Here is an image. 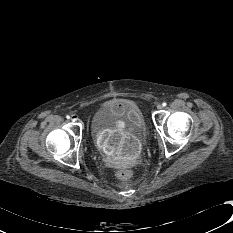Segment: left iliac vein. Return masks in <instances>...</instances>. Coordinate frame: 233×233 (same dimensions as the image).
<instances>
[{"label":"left iliac vein","mask_w":233,"mask_h":233,"mask_svg":"<svg viewBox=\"0 0 233 233\" xmlns=\"http://www.w3.org/2000/svg\"><path fill=\"white\" fill-rule=\"evenodd\" d=\"M162 108H163V106H162L161 104H158V105H157V109H158V110H161Z\"/></svg>","instance_id":"left-iliac-vein-1"}]
</instances>
